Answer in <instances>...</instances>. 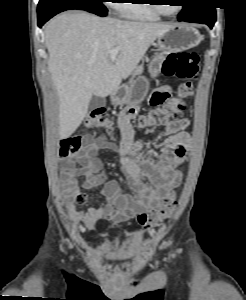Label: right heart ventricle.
Listing matches in <instances>:
<instances>
[{"label": "right heart ventricle", "instance_id": "1", "mask_svg": "<svg viewBox=\"0 0 246 300\" xmlns=\"http://www.w3.org/2000/svg\"><path fill=\"white\" fill-rule=\"evenodd\" d=\"M150 0H127V3L114 4L117 12L128 19L139 22H156L161 16L154 10Z\"/></svg>", "mask_w": 246, "mask_h": 300}]
</instances>
